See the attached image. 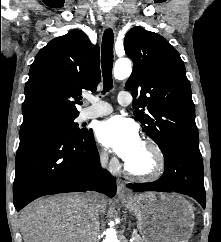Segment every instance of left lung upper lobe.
<instances>
[{
	"mask_svg": "<svg viewBox=\"0 0 221 242\" xmlns=\"http://www.w3.org/2000/svg\"><path fill=\"white\" fill-rule=\"evenodd\" d=\"M124 49L133 61L125 87L134 97L141 92L133 107L146 134L162 152L177 141L199 143L191 87L177 50L141 27L127 32Z\"/></svg>",
	"mask_w": 221,
	"mask_h": 242,
	"instance_id": "1",
	"label": "left lung upper lobe"
}]
</instances>
